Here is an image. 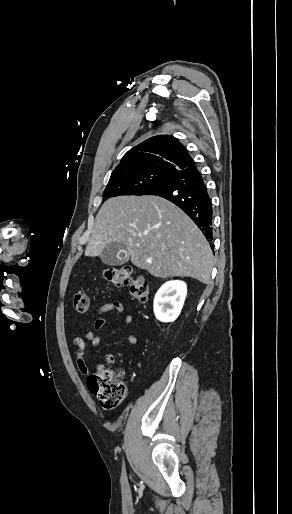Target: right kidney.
Returning <instances> with one entry per match:
<instances>
[{
  "instance_id": "right-kidney-1",
  "label": "right kidney",
  "mask_w": 292,
  "mask_h": 514,
  "mask_svg": "<svg viewBox=\"0 0 292 514\" xmlns=\"http://www.w3.org/2000/svg\"><path fill=\"white\" fill-rule=\"evenodd\" d=\"M187 286L180 280L165 282L154 298V314L160 322H174L178 318L185 298Z\"/></svg>"
}]
</instances>
